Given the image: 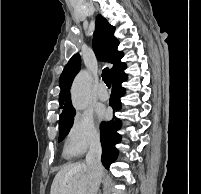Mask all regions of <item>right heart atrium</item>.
<instances>
[{"instance_id": "1", "label": "right heart atrium", "mask_w": 201, "mask_h": 194, "mask_svg": "<svg viewBox=\"0 0 201 194\" xmlns=\"http://www.w3.org/2000/svg\"><path fill=\"white\" fill-rule=\"evenodd\" d=\"M99 131L90 113H77L70 124L66 139L65 151L70 155H78L96 145Z\"/></svg>"}]
</instances>
